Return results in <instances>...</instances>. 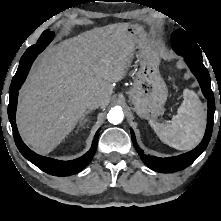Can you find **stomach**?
Listing matches in <instances>:
<instances>
[{
    "label": "stomach",
    "instance_id": "1",
    "mask_svg": "<svg viewBox=\"0 0 221 221\" xmlns=\"http://www.w3.org/2000/svg\"><path fill=\"white\" fill-rule=\"evenodd\" d=\"M127 33L132 36L138 49L140 64L129 91V99L140 117L155 119L163 113L168 97L166 83L159 72L160 54L147 40L140 26L129 25Z\"/></svg>",
    "mask_w": 221,
    "mask_h": 221
}]
</instances>
